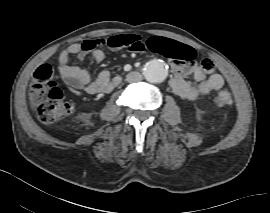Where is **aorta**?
I'll return each mask as SVG.
<instances>
[{"label": "aorta", "instance_id": "aorta-1", "mask_svg": "<svg viewBox=\"0 0 270 213\" xmlns=\"http://www.w3.org/2000/svg\"><path fill=\"white\" fill-rule=\"evenodd\" d=\"M167 67L165 63L154 60L145 65L144 76L151 83H160L167 77Z\"/></svg>", "mask_w": 270, "mask_h": 213}]
</instances>
